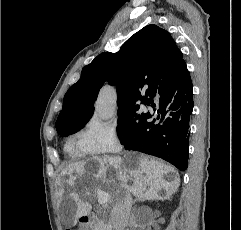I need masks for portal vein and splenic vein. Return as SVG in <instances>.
I'll return each mask as SVG.
<instances>
[{
  "label": "portal vein and splenic vein",
  "mask_w": 241,
  "mask_h": 230,
  "mask_svg": "<svg viewBox=\"0 0 241 230\" xmlns=\"http://www.w3.org/2000/svg\"><path fill=\"white\" fill-rule=\"evenodd\" d=\"M109 201V195L106 192H98V202L100 204H106Z\"/></svg>",
  "instance_id": "obj_1"
}]
</instances>
